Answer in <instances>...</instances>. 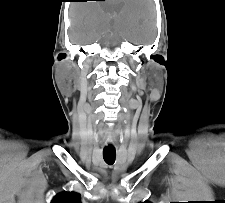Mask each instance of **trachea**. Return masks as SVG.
<instances>
[{"instance_id": "obj_1", "label": "trachea", "mask_w": 225, "mask_h": 203, "mask_svg": "<svg viewBox=\"0 0 225 203\" xmlns=\"http://www.w3.org/2000/svg\"><path fill=\"white\" fill-rule=\"evenodd\" d=\"M115 157H116L115 150H106V149L103 150V158L107 164H109V165L114 164Z\"/></svg>"}]
</instances>
